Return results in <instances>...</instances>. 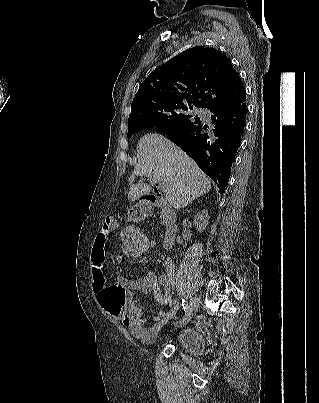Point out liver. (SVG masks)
I'll return each instance as SVG.
<instances>
[{
    "label": "liver",
    "instance_id": "6515ba94",
    "mask_svg": "<svg viewBox=\"0 0 319 403\" xmlns=\"http://www.w3.org/2000/svg\"><path fill=\"white\" fill-rule=\"evenodd\" d=\"M137 148L138 162L128 180L130 201L148 195L157 182L166 184L165 198L175 209L186 207L210 191V179L183 150L164 136L147 134L138 141ZM138 176H146L150 185L135 184Z\"/></svg>",
    "mask_w": 319,
    "mask_h": 403
}]
</instances>
